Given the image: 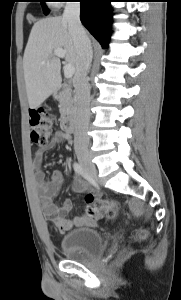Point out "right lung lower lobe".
<instances>
[{
	"label": "right lung lower lobe",
	"mask_w": 181,
	"mask_h": 300,
	"mask_svg": "<svg viewBox=\"0 0 181 300\" xmlns=\"http://www.w3.org/2000/svg\"><path fill=\"white\" fill-rule=\"evenodd\" d=\"M79 1L81 3V22L103 48H107L111 35L112 8L110 3L112 0Z\"/></svg>",
	"instance_id": "obj_1"
}]
</instances>
